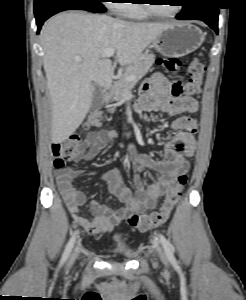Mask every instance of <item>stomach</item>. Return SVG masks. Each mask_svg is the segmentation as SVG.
<instances>
[{
    "instance_id": "0dacf381",
    "label": "stomach",
    "mask_w": 246,
    "mask_h": 300,
    "mask_svg": "<svg viewBox=\"0 0 246 300\" xmlns=\"http://www.w3.org/2000/svg\"><path fill=\"white\" fill-rule=\"evenodd\" d=\"M200 28L179 22L169 25L155 39L156 50L166 57H182L197 50L204 42Z\"/></svg>"
}]
</instances>
